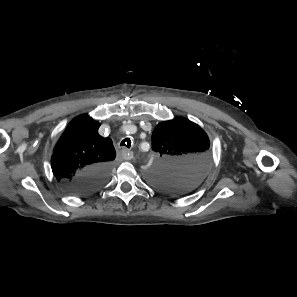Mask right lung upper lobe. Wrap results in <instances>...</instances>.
<instances>
[{
    "mask_svg": "<svg viewBox=\"0 0 297 297\" xmlns=\"http://www.w3.org/2000/svg\"><path fill=\"white\" fill-rule=\"evenodd\" d=\"M100 124L88 115L73 119L60 137L51 158L52 170L58 181L66 184L81 171L108 164L115 159L112 140L98 134Z\"/></svg>",
    "mask_w": 297,
    "mask_h": 297,
    "instance_id": "cb5924a9",
    "label": "right lung upper lobe"
}]
</instances>
